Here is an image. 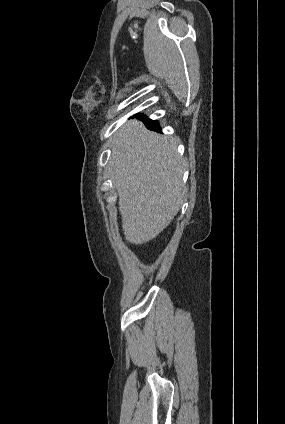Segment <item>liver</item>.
I'll return each instance as SVG.
<instances>
[{
	"label": "liver",
	"instance_id": "liver-1",
	"mask_svg": "<svg viewBox=\"0 0 285 424\" xmlns=\"http://www.w3.org/2000/svg\"><path fill=\"white\" fill-rule=\"evenodd\" d=\"M110 166L126 240L142 244L156 238L178 213L185 193L176 139L130 120L112 139Z\"/></svg>",
	"mask_w": 285,
	"mask_h": 424
}]
</instances>
